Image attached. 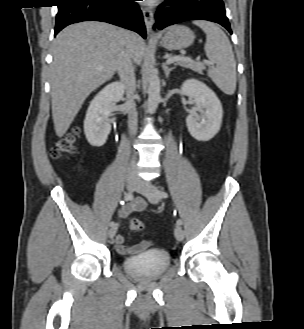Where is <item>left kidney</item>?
<instances>
[{
  "instance_id": "1",
  "label": "left kidney",
  "mask_w": 304,
  "mask_h": 329,
  "mask_svg": "<svg viewBox=\"0 0 304 329\" xmlns=\"http://www.w3.org/2000/svg\"><path fill=\"white\" fill-rule=\"evenodd\" d=\"M181 92L194 99L198 115L192 112L186 119L188 131L198 141H209L220 130L223 109L216 94L203 82L188 79L181 86Z\"/></svg>"
}]
</instances>
